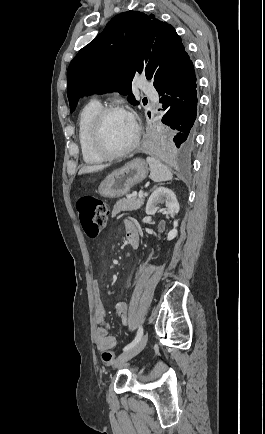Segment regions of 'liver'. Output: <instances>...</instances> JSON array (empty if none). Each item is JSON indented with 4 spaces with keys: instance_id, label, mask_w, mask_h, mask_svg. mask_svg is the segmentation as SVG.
Here are the masks:
<instances>
[{
    "instance_id": "1",
    "label": "liver",
    "mask_w": 265,
    "mask_h": 434,
    "mask_svg": "<svg viewBox=\"0 0 265 434\" xmlns=\"http://www.w3.org/2000/svg\"><path fill=\"white\" fill-rule=\"evenodd\" d=\"M107 166H110V164H100V166H83V168L79 170L78 174L79 176H81V174H92V172L104 170V168H107Z\"/></svg>"
}]
</instances>
